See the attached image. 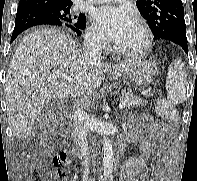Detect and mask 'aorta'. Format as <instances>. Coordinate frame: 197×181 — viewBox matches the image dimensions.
<instances>
[{"mask_svg": "<svg viewBox=\"0 0 197 181\" xmlns=\"http://www.w3.org/2000/svg\"><path fill=\"white\" fill-rule=\"evenodd\" d=\"M103 172L99 181H107L113 172L114 167V153L112 144L108 137L103 138Z\"/></svg>", "mask_w": 197, "mask_h": 181, "instance_id": "obj_1", "label": "aorta"}]
</instances>
